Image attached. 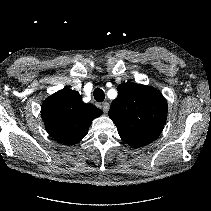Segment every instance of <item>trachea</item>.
Masks as SVG:
<instances>
[{
    "label": "trachea",
    "instance_id": "obj_1",
    "mask_svg": "<svg viewBox=\"0 0 211 211\" xmlns=\"http://www.w3.org/2000/svg\"><path fill=\"white\" fill-rule=\"evenodd\" d=\"M93 95H94V99L97 101V102H103L104 99H105V94H104V91L100 88H96L93 92Z\"/></svg>",
    "mask_w": 211,
    "mask_h": 211
}]
</instances>
